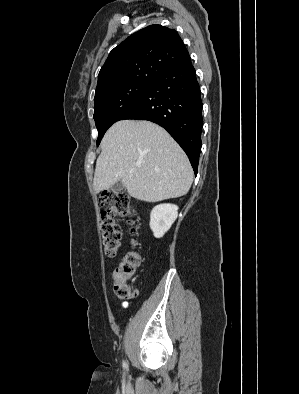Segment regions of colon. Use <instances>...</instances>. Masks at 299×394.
Returning <instances> with one entry per match:
<instances>
[{
    "label": "colon",
    "mask_w": 299,
    "mask_h": 394,
    "mask_svg": "<svg viewBox=\"0 0 299 394\" xmlns=\"http://www.w3.org/2000/svg\"><path fill=\"white\" fill-rule=\"evenodd\" d=\"M130 204V197L120 191H105L98 198L102 248L108 259H114L120 249L121 233L114 218L116 215L126 216ZM140 264L141 255L137 249L129 250L120 259L113 273V288L118 298L127 299L131 296L129 282Z\"/></svg>",
    "instance_id": "1"
}]
</instances>
